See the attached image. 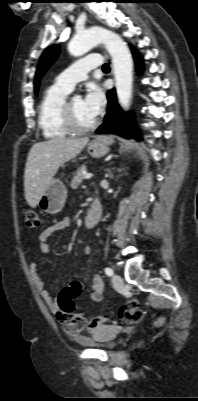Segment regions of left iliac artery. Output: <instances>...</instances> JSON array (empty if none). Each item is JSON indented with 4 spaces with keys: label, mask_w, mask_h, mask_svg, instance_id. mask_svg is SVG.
<instances>
[{
    "label": "left iliac artery",
    "mask_w": 198,
    "mask_h": 401,
    "mask_svg": "<svg viewBox=\"0 0 198 401\" xmlns=\"http://www.w3.org/2000/svg\"><path fill=\"white\" fill-rule=\"evenodd\" d=\"M105 273L107 276H112L113 275V270L109 267L105 268Z\"/></svg>",
    "instance_id": "obj_1"
}]
</instances>
